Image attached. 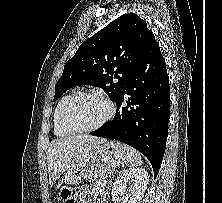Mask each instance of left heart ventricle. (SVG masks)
Instances as JSON below:
<instances>
[{
  "label": "left heart ventricle",
  "instance_id": "obj_1",
  "mask_svg": "<svg viewBox=\"0 0 222 203\" xmlns=\"http://www.w3.org/2000/svg\"><path fill=\"white\" fill-rule=\"evenodd\" d=\"M107 113L106 104L96 97L77 99L69 110V120L79 127H90L98 123Z\"/></svg>",
  "mask_w": 222,
  "mask_h": 203
}]
</instances>
